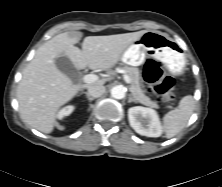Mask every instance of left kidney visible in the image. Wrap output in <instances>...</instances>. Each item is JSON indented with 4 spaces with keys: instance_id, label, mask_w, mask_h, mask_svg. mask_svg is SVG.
Listing matches in <instances>:
<instances>
[{
    "instance_id": "left-kidney-1",
    "label": "left kidney",
    "mask_w": 222,
    "mask_h": 187,
    "mask_svg": "<svg viewBox=\"0 0 222 187\" xmlns=\"http://www.w3.org/2000/svg\"><path fill=\"white\" fill-rule=\"evenodd\" d=\"M130 126L140 135L160 137L162 126L157 112L153 109L135 106L128 109Z\"/></svg>"
}]
</instances>
